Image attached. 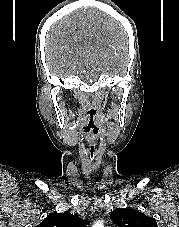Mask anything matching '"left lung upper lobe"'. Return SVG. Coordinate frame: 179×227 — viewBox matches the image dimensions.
Segmentation results:
<instances>
[{
    "label": "left lung upper lobe",
    "instance_id": "5c2ea615",
    "mask_svg": "<svg viewBox=\"0 0 179 227\" xmlns=\"http://www.w3.org/2000/svg\"><path fill=\"white\" fill-rule=\"evenodd\" d=\"M111 219L118 227H158L153 217H148L135 209L116 208Z\"/></svg>",
    "mask_w": 179,
    "mask_h": 227
}]
</instances>
